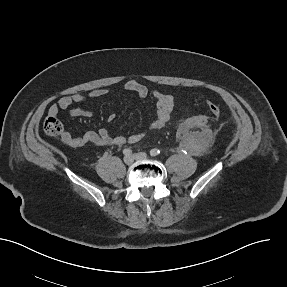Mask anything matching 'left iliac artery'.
I'll return each instance as SVG.
<instances>
[{
  "instance_id": "1",
  "label": "left iliac artery",
  "mask_w": 287,
  "mask_h": 287,
  "mask_svg": "<svg viewBox=\"0 0 287 287\" xmlns=\"http://www.w3.org/2000/svg\"><path fill=\"white\" fill-rule=\"evenodd\" d=\"M160 154V150L159 149H156V148H154V149H152L151 151H150V155L151 156H157V155H159Z\"/></svg>"
}]
</instances>
